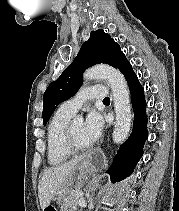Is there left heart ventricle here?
<instances>
[{
    "label": "left heart ventricle",
    "mask_w": 179,
    "mask_h": 211,
    "mask_svg": "<svg viewBox=\"0 0 179 211\" xmlns=\"http://www.w3.org/2000/svg\"><path fill=\"white\" fill-rule=\"evenodd\" d=\"M73 132L76 141L80 145H88L90 142L87 140L84 134V122L80 120L73 121Z\"/></svg>",
    "instance_id": "obj_1"
}]
</instances>
